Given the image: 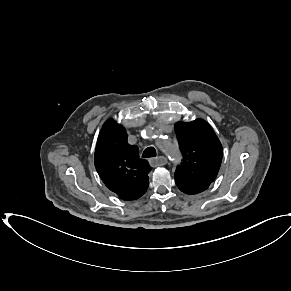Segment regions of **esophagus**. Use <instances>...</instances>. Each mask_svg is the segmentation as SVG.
I'll return each mask as SVG.
<instances>
[{
	"instance_id": "1",
	"label": "esophagus",
	"mask_w": 291,
	"mask_h": 291,
	"mask_svg": "<svg viewBox=\"0 0 291 291\" xmlns=\"http://www.w3.org/2000/svg\"><path fill=\"white\" fill-rule=\"evenodd\" d=\"M167 163V159L164 156H158L150 159V164L153 167L163 166Z\"/></svg>"
}]
</instances>
